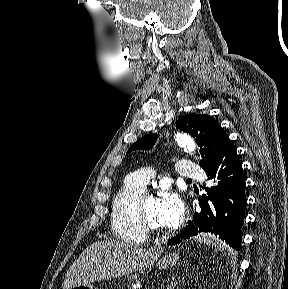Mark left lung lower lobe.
Returning <instances> with one entry per match:
<instances>
[{
  "instance_id": "1",
  "label": "left lung lower lobe",
  "mask_w": 288,
  "mask_h": 289,
  "mask_svg": "<svg viewBox=\"0 0 288 289\" xmlns=\"http://www.w3.org/2000/svg\"><path fill=\"white\" fill-rule=\"evenodd\" d=\"M204 171L211 180L209 186H203L207 195L199 197L200 209L193 220L168 245H176L199 232H210L239 250L247 205L246 183L236 149L229 138Z\"/></svg>"
}]
</instances>
